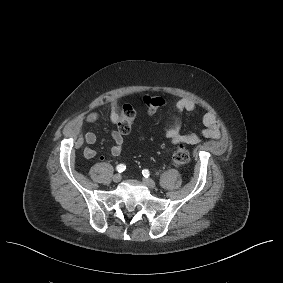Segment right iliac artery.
I'll use <instances>...</instances> for the list:
<instances>
[{"instance_id":"right-iliac-artery-1","label":"right iliac artery","mask_w":283,"mask_h":283,"mask_svg":"<svg viewBox=\"0 0 283 283\" xmlns=\"http://www.w3.org/2000/svg\"><path fill=\"white\" fill-rule=\"evenodd\" d=\"M116 169L119 173H121L126 169V166L124 164H119Z\"/></svg>"}]
</instances>
